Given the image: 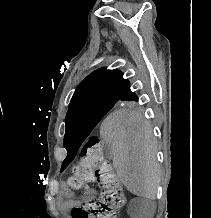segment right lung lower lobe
I'll return each mask as SVG.
<instances>
[{"instance_id": "98d812e1", "label": "right lung lower lobe", "mask_w": 211, "mask_h": 218, "mask_svg": "<svg viewBox=\"0 0 211 218\" xmlns=\"http://www.w3.org/2000/svg\"><path fill=\"white\" fill-rule=\"evenodd\" d=\"M122 98H137V96L135 95V93H133L131 90H130V87H128L125 92L123 93V96Z\"/></svg>"}]
</instances>
